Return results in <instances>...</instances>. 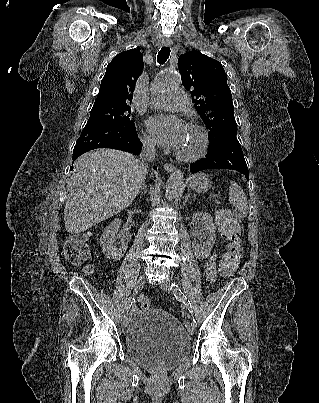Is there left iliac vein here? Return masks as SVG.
I'll list each match as a JSON object with an SVG mask.
<instances>
[{"instance_id": "1", "label": "left iliac vein", "mask_w": 319, "mask_h": 403, "mask_svg": "<svg viewBox=\"0 0 319 403\" xmlns=\"http://www.w3.org/2000/svg\"><path fill=\"white\" fill-rule=\"evenodd\" d=\"M160 288L163 289L164 291L171 292L172 287L171 283L169 280H164L163 282L160 283ZM188 332L190 335H193L195 332L196 327L192 324H190L188 327Z\"/></svg>"}]
</instances>
